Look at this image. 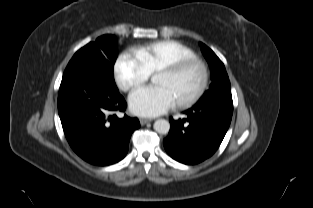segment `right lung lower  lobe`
Returning <instances> with one entry per match:
<instances>
[{
    "instance_id": "right-lung-lower-lobe-1",
    "label": "right lung lower lobe",
    "mask_w": 313,
    "mask_h": 208,
    "mask_svg": "<svg viewBox=\"0 0 313 208\" xmlns=\"http://www.w3.org/2000/svg\"><path fill=\"white\" fill-rule=\"evenodd\" d=\"M126 106L117 87L99 71L76 65L63 74L58 113L69 145L85 161L106 166L125 157L139 120L109 114Z\"/></svg>"
}]
</instances>
